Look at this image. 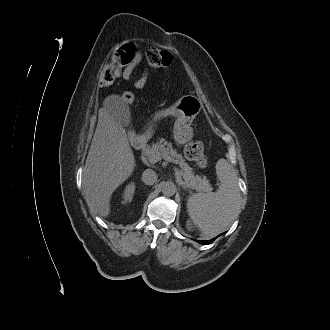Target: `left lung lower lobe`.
Wrapping results in <instances>:
<instances>
[{
    "label": "left lung lower lobe",
    "mask_w": 330,
    "mask_h": 330,
    "mask_svg": "<svg viewBox=\"0 0 330 330\" xmlns=\"http://www.w3.org/2000/svg\"><path fill=\"white\" fill-rule=\"evenodd\" d=\"M217 238V237H216ZM216 238L212 239V240H209V241H203V240H197V242L201 243V244H211Z\"/></svg>",
    "instance_id": "1"
}]
</instances>
